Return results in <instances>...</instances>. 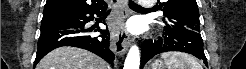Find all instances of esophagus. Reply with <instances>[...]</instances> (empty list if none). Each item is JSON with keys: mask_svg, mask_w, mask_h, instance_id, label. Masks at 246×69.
<instances>
[{"mask_svg": "<svg viewBox=\"0 0 246 69\" xmlns=\"http://www.w3.org/2000/svg\"><path fill=\"white\" fill-rule=\"evenodd\" d=\"M128 0H120V3L122 6L127 5ZM126 18V15L124 13L120 14V22ZM131 44V40L129 38L128 33L123 28L121 23L119 25H114L111 29V42H110V48L111 50L118 55L124 54L129 45Z\"/></svg>", "mask_w": 246, "mask_h": 69, "instance_id": "1", "label": "esophagus"}]
</instances>
